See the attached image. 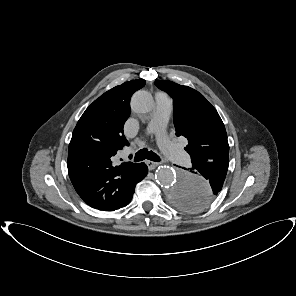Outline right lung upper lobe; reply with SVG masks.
Segmentation results:
<instances>
[{
	"label": "right lung upper lobe",
	"instance_id": "1",
	"mask_svg": "<svg viewBox=\"0 0 296 296\" xmlns=\"http://www.w3.org/2000/svg\"><path fill=\"white\" fill-rule=\"evenodd\" d=\"M144 85V80H132L105 92L86 109L73 131L68 173L78 195L92 208L113 211L129 198L136 164L113 166L111 159L128 145L123 126L131 112L130 98Z\"/></svg>",
	"mask_w": 296,
	"mask_h": 296
}]
</instances>
